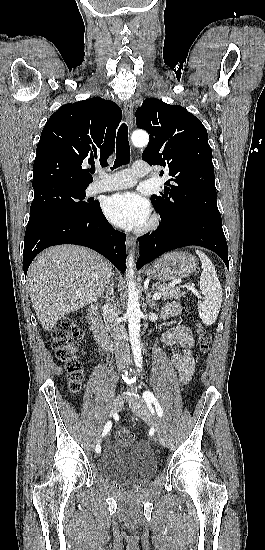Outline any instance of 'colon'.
I'll return each mask as SVG.
<instances>
[{"instance_id":"5ec220e1","label":"colon","mask_w":265,"mask_h":550,"mask_svg":"<svg viewBox=\"0 0 265 550\" xmlns=\"http://www.w3.org/2000/svg\"><path fill=\"white\" fill-rule=\"evenodd\" d=\"M197 336L201 352H205L210 344L211 335L203 326L197 327ZM79 335V328L74 317L61 319L52 332L53 348L58 360L66 364V370L70 382L72 393H78L83 381V366L77 357V348L74 344ZM114 438L117 442H131L134 440V434L126 428H120L115 431Z\"/></svg>"}]
</instances>
